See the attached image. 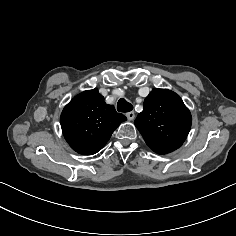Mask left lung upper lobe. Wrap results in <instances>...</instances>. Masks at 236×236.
<instances>
[{
  "label": "left lung upper lobe",
  "instance_id": "5c2ea615",
  "mask_svg": "<svg viewBox=\"0 0 236 236\" xmlns=\"http://www.w3.org/2000/svg\"><path fill=\"white\" fill-rule=\"evenodd\" d=\"M192 118L179 95L167 89H153L134 121L146 144L158 154L178 149L185 141Z\"/></svg>",
  "mask_w": 236,
  "mask_h": 236
}]
</instances>
